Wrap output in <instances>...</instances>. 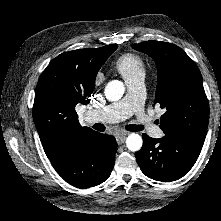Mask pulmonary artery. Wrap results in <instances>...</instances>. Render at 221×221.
<instances>
[{
  "instance_id": "1",
  "label": "pulmonary artery",
  "mask_w": 221,
  "mask_h": 221,
  "mask_svg": "<svg viewBox=\"0 0 221 221\" xmlns=\"http://www.w3.org/2000/svg\"><path fill=\"white\" fill-rule=\"evenodd\" d=\"M143 77L127 82L128 92L119 101L105 107L85 113L84 119L90 123H112L132 117V121L142 131H147L153 138L162 137V130L153 125L152 119L141 112L140 101L144 91Z\"/></svg>"
}]
</instances>
